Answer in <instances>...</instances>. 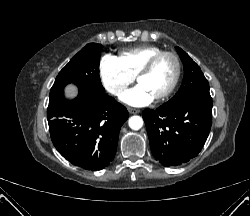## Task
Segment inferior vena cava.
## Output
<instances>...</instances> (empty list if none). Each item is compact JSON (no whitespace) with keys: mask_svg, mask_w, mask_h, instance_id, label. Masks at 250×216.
Wrapping results in <instances>:
<instances>
[{"mask_svg":"<svg viewBox=\"0 0 250 216\" xmlns=\"http://www.w3.org/2000/svg\"><path fill=\"white\" fill-rule=\"evenodd\" d=\"M119 91H120V90H115L114 93L116 94V93H118Z\"/></svg>","mask_w":250,"mask_h":216,"instance_id":"obj_1","label":"inferior vena cava"}]
</instances>
